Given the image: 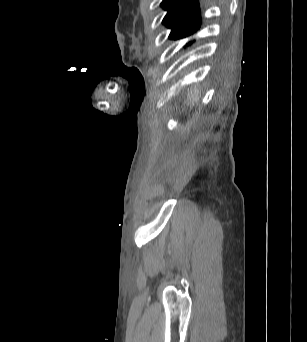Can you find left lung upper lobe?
I'll return each instance as SVG.
<instances>
[{
	"mask_svg": "<svg viewBox=\"0 0 307 342\" xmlns=\"http://www.w3.org/2000/svg\"><path fill=\"white\" fill-rule=\"evenodd\" d=\"M161 7L168 11L162 23L171 28L169 39L191 36L201 28L202 17L198 0H163ZM194 42L195 40L189 41L186 46H191Z\"/></svg>",
	"mask_w": 307,
	"mask_h": 342,
	"instance_id": "5c2ea615",
	"label": "left lung upper lobe"
}]
</instances>
